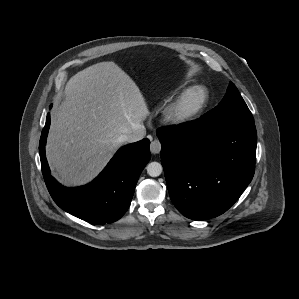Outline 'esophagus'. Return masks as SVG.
<instances>
[{"label":"esophagus","instance_id":"1","mask_svg":"<svg viewBox=\"0 0 299 299\" xmlns=\"http://www.w3.org/2000/svg\"><path fill=\"white\" fill-rule=\"evenodd\" d=\"M150 150L153 154H158L161 151V143L159 140H153L150 144Z\"/></svg>","mask_w":299,"mask_h":299}]
</instances>
